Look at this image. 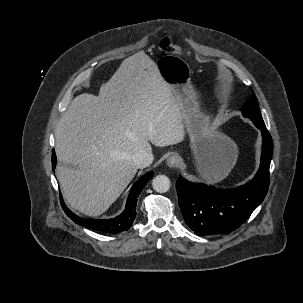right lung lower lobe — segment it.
Instances as JSON below:
<instances>
[{"instance_id": "98d812e1", "label": "right lung lower lobe", "mask_w": 303, "mask_h": 303, "mask_svg": "<svg viewBox=\"0 0 303 303\" xmlns=\"http://www.w3.org/2000/svg\"><path fill=\"white\" fill-rule=\"evenodd\" d=\"M57 162V157L55 152L52 153V168L55 169ZM153 172L148 173L146 176L138 180L131 188L126 208L122 214L107 220H98V219H83L73 214L64 204L61 198V206L67 216L73 220L78 225L99 231L104 233H119L125 230H128L136 217V204L137 197L139 196L142 189L145 187L147 182L152 179Z\"/></svg>"}]
</instances>
